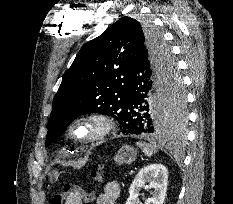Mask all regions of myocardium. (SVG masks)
Returning a JSON list of instances; mask_svg holds the SVG:
<instances>
[{"label":"myocardium","instance_id":"myocardium-1","mask_svg":"<svg viewBox=\"0 0 233 204\" xmlns=\"http://www.w3.org/2000/svg\"><path fill=\"white\" fill-rule=\"evenodd\" d=\"M81 125H88L94 128L89 136L78 138L75 136V129ZM113 120L103 113H89L74 118L67 127L68 137L77 143H93L103 139L113 129Z\"/></svg>","mask_w":233,"mask_h":204}]
</instances>
